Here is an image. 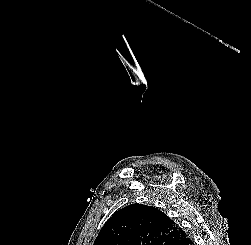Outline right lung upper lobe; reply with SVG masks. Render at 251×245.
Returning a JSON list of instances; mask_svg holds the SVG:
<instances>
[{
  "instance_id": "1",
  "label": "right lung upper lobe",
  "mask_w": 251,
  "mask_h": 245,
  "mask_svg": "<svg viewBox=\"0 0 251 245\" xmlns=\"http://www.w3.org/2000/svg\"><path fill=\"white\" fill-rule=\"evenodd\" d=\"M185 232L153 206L132 204L115 212L93 245H173Z\"/></svg>"
}]
</instances>
